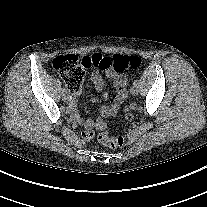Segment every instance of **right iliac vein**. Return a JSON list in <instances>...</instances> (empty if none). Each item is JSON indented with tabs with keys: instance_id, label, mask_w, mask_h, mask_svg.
I'll return each instance as SVG.
<instances>
[{
	"instance_id": "right-iliac-vein-1",
	"label": "right iliac vein",
	"mask_w": 207,
	"mask_h": 207,
	"mask_svg": "<svg viewBox=\"0 0 207 207\" xmlns=\"http://www.w3.org/2000/svg\"><path fill=\"white\" fill-rule=\"evenodd\" d=\"M62 99H63L64 102H69V100H70L69 94L68 93L63 94Z\"/></svg>"
}]
</instances>
